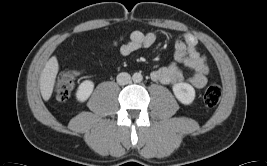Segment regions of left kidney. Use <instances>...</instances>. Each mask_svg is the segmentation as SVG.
Here are the masks:
<instances>
[{
  "label": "left kidney",
  "mask_w": 267,
  "mask_h": 166,
  "mask_svg": "<svg viewBox=\"0 0 267 166\" xmlns=\"http://www.w3.org/2000/svg\"><path fill=\"white\" fill-rule=\"evenodd\" d=\"M176 98L183 104L189 105L195 99V89L188 83H177L173 86Z\"/></svg>",
  "instance_id": "left-kidney-1"
}]
</instances>
